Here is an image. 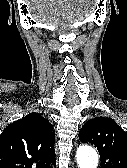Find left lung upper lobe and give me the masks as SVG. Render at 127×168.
<instances>
[{
    "label": "left lung upper lobe",
    "mask_w": 127,
    "mask_h": 168,
    "mask_svg": "<svg viewBox=\"0 0 127 168\" xmlns=\"http://www.w3.org/2000/svg\"><path fill=\"white\" fill-rule=\"evenodd\" d=\"M79 139L97 147L100 168H127V132L112 118L87 121L79 132Z\"/></svg>",
    "instance_id": "1"
}]
</instances>
